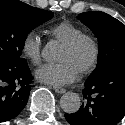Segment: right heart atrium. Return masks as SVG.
<instances>
[{
	"instance_id": "obj_1",
	"label": "right heart atrium",
	"mask_w": 125,
	"mask_h": 125,
	"mask_svg": "<svg viewBox=\"0 0 125 125\" xmlns=\"http://www.w3.org/2000/svg\"><path fill=\"white\" fill-rule=\"evenodd\" d=\"M43 40L41 36L35 32H29L22 42V54L32 64L37 65L41 61Z\"/></svg>"
}]
</instances>
